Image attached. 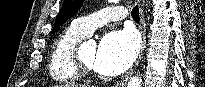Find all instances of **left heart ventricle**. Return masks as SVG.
<instances>
[{"label":"left heart ventricle","mask_w":205,"mask_h":87,"mask_svg":"<svg viewBox=\"0 0 205 87\" xmlns=\"http://www.w3.org/2000/svg\"><path fill=\"white\" fill-rule=\"evenodd\" d=\"M96 52H97L96 47H82L80 50L82 60L92 68H93Z\"/></svg>","instance_id":"obj_1"}]
</instances>
